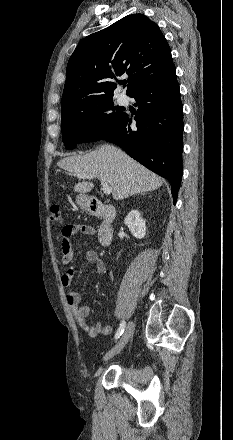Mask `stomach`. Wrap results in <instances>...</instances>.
Listing matches in <instances>:
<instances>
[{
	"instance_id": "obj_1",
	"label": "stomach",
	"mask_w": 233,
	"mask_h": 440,
	"mask_svg": "<svg viewBox=\"0 0 233 440\" xmlns=\"http://www.w3.org/2000/svg\"><path fill=\"white\" fill-rule=\"evenodd\" d=\"M76 203L82 209L89 210L90 209V204H91V198L86 196V195H84V194H80V195H78L76 197Z\"/></svg>"
}]
</instances>
